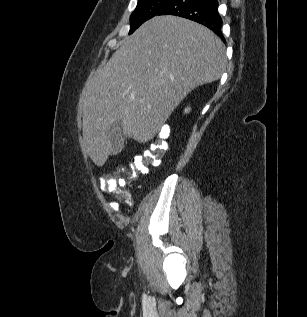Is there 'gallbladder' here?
<instances>
[{
    "mask_svg": "<svg viewBox=\"0 0 307 317\" xmlns=\"http://www.w3.org/2000/svg\"><path fill=\"white\" fill-rule=\"evenodd\" d=\"M108 139L110 141L111 154L117 155L124 147V138L122 134V122H115L108 132Z\"/></svg>",
    "mask_w": 307,
    "mask_h": 317,
    "instance_id": "obj_1",
    "label": "gallbladder"
}]
</instances>
